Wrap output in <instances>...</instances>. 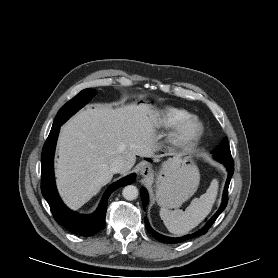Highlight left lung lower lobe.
Returning <instances> with one entry per match:
<instances>
[{"label":"left lung lower lobe","mask_w":278,"mask_h":278,"mask_svg":"<svg viewBox=\"0 0 278 278\" xmlns=\"http://www.w3.org/2000/svg\"><path fill=\"white\" fill-rule=\"evenodd\" d=\"M225 164V163H224ZM227 171H228V177H227V181L225 184V189H224V193H223V200H222V204L219 208V210L215 213V215L207 222V224L199 231L193 233V234H189L183 237H179V238H171V237H167L164 236L162 234H159L158 232H156L155 230L152 229V227L150 226L147 218L145 217V225L147 230L149 231L150 234H152V236L154 238H156L157 240L164 242V243H180L182 241L194 238V237H198L200 235L205 234L208 229L211 227V225L214 223V221L217 219V217L220 215V213L225 209V207L227 206V201H228V187H229V183L231 180V177L234 173V164H225ZM141 198H142V202H143V207L145 208V206L148 204V194L146 189L142 188L141 189Z\"/></svg>","instance_id":"left-lung-lower-lobe-1"}]
</instances>
